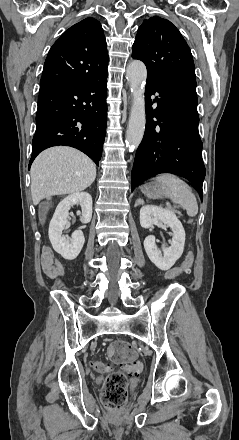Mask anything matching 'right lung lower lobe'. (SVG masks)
Returning a JSON list of instances; mask_svg holds the SVG:
<instances>
[{
	"label": "right lung lower lobe",
	"mask_w": 239,
	"mask_h": 440,
	"mask_svg": "<svg viewBox=\"0 0 239 440\" xmlns=\"http://www.w3.org/2000/svg\"><path fill=\"white\" fill-rule=\"evenodd\" d=\"M107 75L40 86L29 167L41 151L58 145L75 147L99 165L107 121Z\"/></svg>",
	"instance_id": "1"
}]
</instances>
